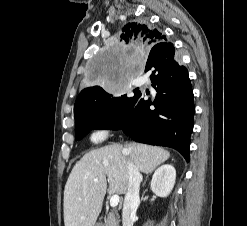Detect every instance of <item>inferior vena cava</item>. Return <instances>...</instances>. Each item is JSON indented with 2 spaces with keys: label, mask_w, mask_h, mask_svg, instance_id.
Wrapping results in <instances>:
<instances>
[{
  "label": "inferior vena cava",
  "mask_w": 247,
  "mask_h": 226,
  "mask_svg": "<svg viewBox=\"0 0 247 226\" xmlns=\"http://www.w3.org/2000/svg\"><path fill=\"white\" fill-rule=\"evenodd\" d=\"M141 181L142 176L138 168L132 162H128V189L125 194L122 210L123 226H133L140 202L139 190Z\"/></svg>",
  "instance_id": "602c4592"
}]
</instances>
